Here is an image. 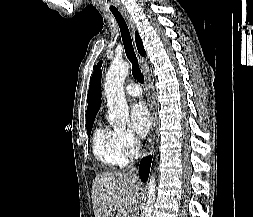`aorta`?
I'll list each match as a JSON object with an SVG mask.
<instances>
[{
	"mask_svg": "<svg viewBox=\"0 0 253 217\" xmlns=\"http://www.w3.org/2000/svg\"><path fill=\"white\" fill-rule=\"evenodd\" d=\"M127 62H113L106 74L104 90L107 98L109 121L124 127L129 117V107L124 94V81L129 72ZM146 204L141 217H152L156 195L155 175L151 174L147 184Z\"/></svg>",
	"mask_w": 253,
	"mask_h": 217,
	"instance_id": "aorta-1",
	"label": "aorta"
}]
</instances>
